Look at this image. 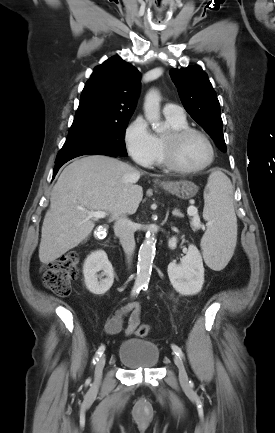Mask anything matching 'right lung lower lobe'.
Listing matches in <instances>:
<instances>
[{
  "mask_svg": "<svg viewBox=\"0 0 275 433\" xmlns=\"http://www.w3.org/2000/svg\"><path fill=\"white\" fill-rule=\"evenodd\" d=\"M101 155H107V156L116 157V155L108 154V153H102ZM71 159H73V158H71ZM71 159H66V160H62V161H59V162H55V168H54V171H53V178H54L55 175L57 174L59 168H60L63 164H65L67 161H69V160H71Z\"/></svg>",
  "mask_w": 275,
  "mask_h": 433,
  "instance_id": "98d812e1",
  "label": "right lung lower lobe"
}]
</instances>
